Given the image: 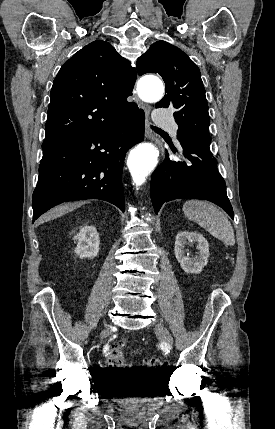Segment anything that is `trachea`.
I'll use <instances>...</instances> for the list:
<instances>
[{
  "instance_id": "obj_1",
  "label": "trachea",
  "mask_w": 275,
  "mask_h": 429,
  "mask_svg": "<svg viewBox=\"0 0 275 429\" xmlns=\"http://www.w3.org/2000/svg\"><path fill=\"white\" fill-rule=\"evenodd\" d=\"M152 128H153L155 131H161V129H159V128H157V127L152 126Z\"/></svg>"
}]
</instances>
